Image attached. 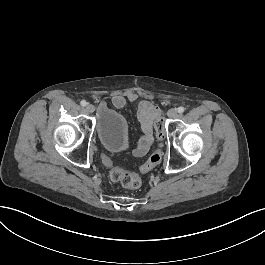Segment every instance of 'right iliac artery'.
<instances>
[{
	"instance_id": "1",
	"label": "right iliac artery",
	"mask_w": 265,
	"mask_h": 265,
	"mask_svg": "<svg viewBox=\"0 0 265 265\" xmlns=\"http://www.w3.org/2000/svg\"><path fill=\"white\" fill-rule=\"evenodd\" d=\"M80 104H81L82 106H86V105H87V102H86L85 100H82V101L80 102Z\"/></svg>"
}]
</instances>
